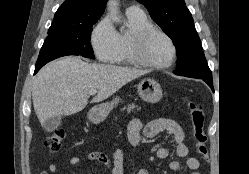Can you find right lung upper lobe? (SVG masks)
<instances>
[{"label": "right lung upper lobe", "mask_w": 249, "mask_h": 174, "mask_svg": "<svg viewBox=\"0 0 249 174\" xmlns=\"http://www.w3.org/2000/svg\"><path fill=\"white\" fill-rule=\"evenodd\" d=\"M107 0H66L57 10L49 30L67 29L98 20Z\"/></svg>", "instance_id": "right-lung-upper-lobe-1"}]
</instances>
